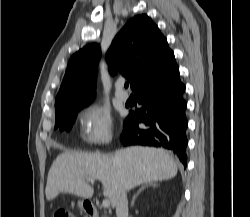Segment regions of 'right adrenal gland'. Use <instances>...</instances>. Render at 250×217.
Masks as SVG:
<instances>
[{"label": "right adrenal gland", "mask_w": 250, "mask_h": 217, "mask_svg": "<svg viewBox=\"0 0 250 217\" xmlns=\"http://www.w3.org/2000/svg\"><path fill=\"white\" fill-rule=\"evenodd\" d=\"M148 186H157V184H156V183H148V184L143 185V186L137 191V193L133 196L132 202H131V205H130L131 207L134 206V202H135L136 198L139 196V194H140L146 187H148Z\"/></svg>", "instance_id": "2a0ac1e0"}]
</instances>
